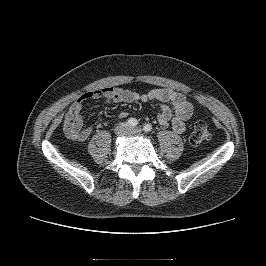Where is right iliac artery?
<instances>
[{
    "mask_svg": "<svg viewBox=\"0 0 266 266\" xmlns=\"http://www.w3.org/2000/svg\"><path fill=\"white\" fill-rule=\"evenodd\" d=\"M126 123L131 127H135L137 126L138 121L135 118H129Z\"/></svg>",
    "mask_w": 266,
    "mask_h": 266,
    "instance_id": "1",
    "label": "right iliac artery"
}]
</instances>
